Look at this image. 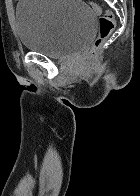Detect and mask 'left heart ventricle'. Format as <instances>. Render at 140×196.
<instances>
[{
    "mask_svg": "<svg viewBox=\"0 0 140 196\" xmlns=\"http://www.w3.org/2000/svg\"><path fill=\"white\" fill-rule=\"evenodd\" d=\"M45 192H53V191H45Z\"/></svg>",
    "mask_w": 140,
    "mask_h": 196,
    "instance_id": "left-heart-ventricle-1",
    "label": "left heart ventricle"
}]
</instances>
